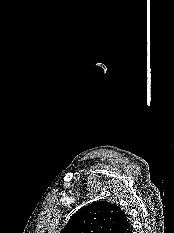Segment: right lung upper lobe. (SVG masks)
Returning a JSON list of instances; mask_svg holds the SVG:
<instances>
[{"instance_id": "cb5924a9", "label": "right lung upper lobe", "mask_w": 174, "mask_h": 233, "mask_svg": "<svg viewBox=\"0 0 174 233\" xmlns=\"http://www.w3.org/2000/svg\"><path fill=\"white\" fill-rule=\"evenodd\" d=\"M60 233H132V228L119 206L100 200L76 212Z\"/></svg>"}]
</instances>
